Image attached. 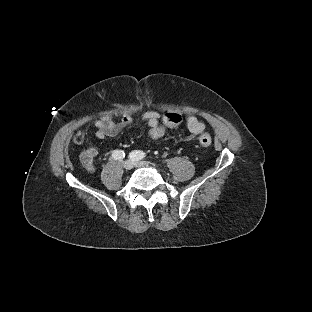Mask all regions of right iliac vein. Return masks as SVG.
I'll use <instances>...</instances> for the list:
<instances>
[{
    "label": "right iliac vein",
    "mask_w": 312,
    "mask_h": 312,
    "mask_svg": "<svg viewBox=\"0 0 312 312\" xmlns=\"http://www.w3.org/2000/svg\"><path fill=\"white\" fill-rule=\"evenodd\" d=\"M122 166L125 170H131L133 168V163L127 160L123 162Z\"/></svg>",
    "instance_id": "obj_1"
}]
</instances>
